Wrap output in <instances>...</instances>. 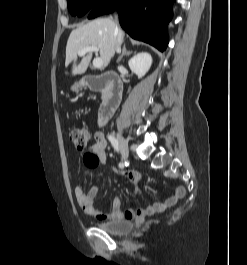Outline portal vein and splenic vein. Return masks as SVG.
<instances>
[{
  "instance_id": "1",
  "label": "portal vein and splenic vein",
  "mask_w": 247,
  "mask_h": 265,
  "mask_svg": "<svg viewBox=\"0 0 247 265\" xmlns=\"http://www.w3.org/2000/svg\"><path fill=\"white\" fill-rule=\"evenodd\" d=\"M99 51V48L97 46H88L83 48L81 51L78 52L79 56H83L88 52H95L97 53ZM93 66L94 68H102L103 67V60L101 58H95L93 60Z\"/></svg>"
}]
</instances>
